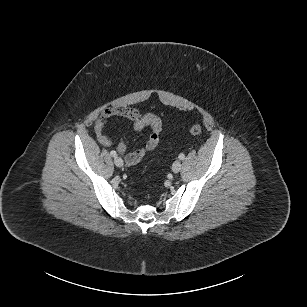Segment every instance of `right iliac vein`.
<instances>
[{
	"mask_svg": "<svg viewBox=\"0 0 307 307\" xmlns=\"http://www.w3.org/2000/svg\"><path fill=\"white\" fill-rule=\"evenodd\" d=\"M114 163H115V165L117 167H122L123 164H124L122 158H120V157H115L114 158Z\"/></svg>",
	"mask_w": 307,
	"mask_h": 307,
	"instance_id": "1",
	"label": "right iliac vein"
}]
</instances>
